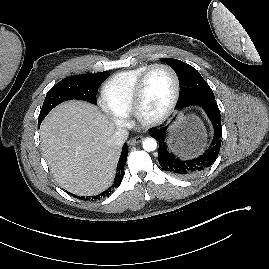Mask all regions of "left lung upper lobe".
I'll return each mask as SVG.
<instances>
[{
	"label": "left lung upper lobe",
	"mask_w": 269,
	"mask_h": 269,
	"mask_svg": "<svg viewBox=\"0 0 269 269\" xmlns=\"http://www.w3.org/2000/svg\"><path fill=\"white\" fill-rule=\"evenodd\" d=\"M161 61L171 66L179 78L181 87L179 105L194 99H215L210 86L194 67L177 59L164 58Z\"/></svg>",
	"instance_id": "5c2ea615"
}]
</instances>
